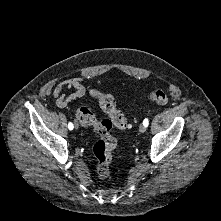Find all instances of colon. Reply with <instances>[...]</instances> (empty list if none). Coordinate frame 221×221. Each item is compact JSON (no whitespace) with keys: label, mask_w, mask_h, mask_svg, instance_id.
Here are the masks:
<instances>
[{"label":"colon","mask_w":221,"mask_h":221,"mask_svg":"<svg viewBox=\"0 0 221 221\" xmlns=\"http://www.w3.org/2000/svg\"><path fill=\"white\" fill-rule=\"evenodd\" d=\"M91 95L99 100L101 109L108 115L109 119L98 121L94 114L85 107L76 110V117L81 124L92 126L100 136V139L94 144L93 152L97 159V172L100 177L106 178L109 175L113 151L116 147V140L110 133L112 126L127 129L132 126V122L118 110L111 95L96 90H92ZM149 97L152 102L160 105H166L169 102L168 95L161 90L152 91Z\"/></svg>","instance_id":"obj_1"}]
</instances>
